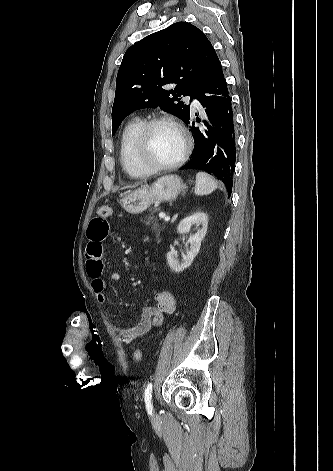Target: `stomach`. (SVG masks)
Listing matches in <instances>:
<instances>
[{"mask_svg":"<svg viewBox=\"0 0 333 471\" xmlns=\"http://www.w3.org/2000/svg\"><path fill=\"white\" fill-rule=\"evenodd\" d=\"M183 189V181L178 175H165L151 186L126 194L119 203L126 212L140 214L155 202L172 201Z\"/></svg>","mask_w":333,"mask_h":471,"instance_id":"1","label":"stomach"}]
</instances>
